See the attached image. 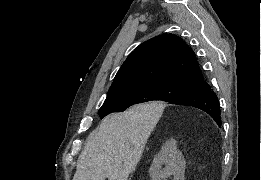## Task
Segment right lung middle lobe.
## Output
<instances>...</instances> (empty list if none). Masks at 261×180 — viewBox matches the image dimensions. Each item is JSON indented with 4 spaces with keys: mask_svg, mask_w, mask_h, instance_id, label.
<instances>
[{
    "mask_svg": "<svg viewBox=\"0 0 261 180\" xmlns=\"http://www.w3.org/2000/svg\"><path fill=\"white\" fill-rule=\"evenodd\" d=\"M201 87V83L197 82L159 80L116 89L108 92L99 116L103 118L109 113L124 111L134 104L153 100L170 102L177 97L197 92Z\"/></svg>",
    "mask_w": 261,
    "mask_h": 180,
    "instance_id": "dd1d6c3e",
    "label": "right lung middle lobe"
}]
</instances>
